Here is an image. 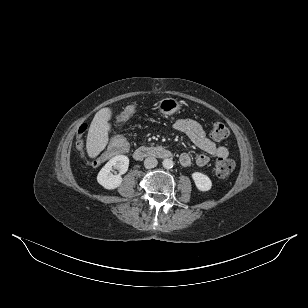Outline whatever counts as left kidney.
<instances>
[{"label": "left kidney", "instance_id": "obj_1", "mask_svg": "<svg viewBox=\"0 0 308 308\" xmlns=\"http://www.w3.org/2000/svg\"><path fill=\"white\" fill-rule=\"evenodd\" d=\"M192 179L194 180L198 190L202 192L209 191L212 187V182L210 178L201 172L192 173Z\"/></svg>", "mask_w": 308, "mask_h": 308}]
</instances>
